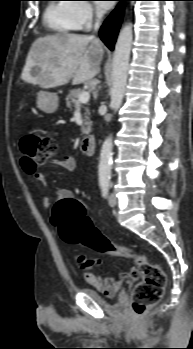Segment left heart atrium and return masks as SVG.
<instances>
[{
	"mask_svg": "<svg viewBox=\"0 0 193 349\" xmlns=\"http://www.w3.org/2000/svg\"><path fill=\"white\" fill-rule=\"evenodd\" d=\"M98 6L101 9H109L111 7V4L110 3H100V4H98Z\"/></svg>",
	"mask_w": 193,
	"mask_h": 349,
	"instance_id": "obj_1",
	"label": "left heart atrium"
}]
</instances>
